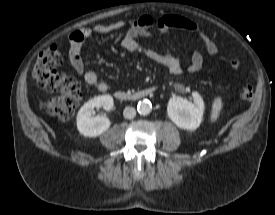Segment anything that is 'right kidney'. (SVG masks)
<instances>
[{
    "label": "right kidney",
    "mask_w": 275,
    "mask_h": 215,
    "mask_svg": "<svg viewBox=\"0 0 275 215\" xmlns=\"http://www.w3.org/2000/svg\"><path fill=\"white\" fill-rule=\"evenodd\" d=\"M113 98L110 95L95 97L86 102L77 114V129L86 137H96L108 130L110 121L105 116H92L95 108L103 107L109 111L113 107Z\"/></svg>",
    "instance_id": "obj_1"
}]
</instances>
